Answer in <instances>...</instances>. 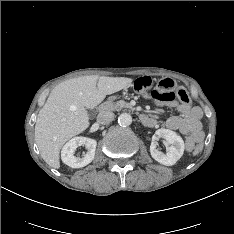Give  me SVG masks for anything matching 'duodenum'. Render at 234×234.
<instances>
[{
	"label": "duodenum",
	"instance_id": "obj_1",
	"mask_svg": "<svg viewBox=\"0 0 234 234\" xmlns=\"http://www.w3.org/2000/svg\"><path fill=\"white\" fill-rule=\"evenodd\" d=\"M109 107H110V103L107 102V103H105V104H103V105L101 106V110H102V111H106V110L109 109ZM141 119H142L143 122H146V121H147V117H146V116H142Z\"/></svg>",
	"mask_w": 234,
	"mask_h": 234
}]
</instances>
